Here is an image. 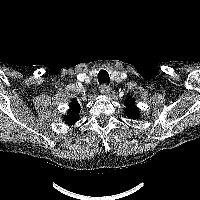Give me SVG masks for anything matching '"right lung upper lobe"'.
Wrapping results in <instances>:
<instances>
[{
    "mask_svg": "<svg viewBox=\"0 0 200 200\" xmlns=\"http://www.w3.org/2000/svg\"><path fill=\"white\" fill-rule=\"evenodd\" d=\"M79 116V106L76 101L73 100L72 105L70 106V109L68 111V115L64 117V121L68 125H73L77 120Z\"/></svg>",
    "mask_w": 200,
    "mask_h": 200,
    "instance_id": "cb5924a9",
    "label": "right lung upper lobe"
}]
</instances>
